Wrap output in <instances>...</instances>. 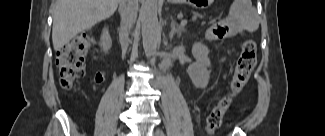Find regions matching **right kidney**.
I'll use <instances>...</instances> for the list:
<instances>
[{
	"label": "right kidney",
	"mask_w": 325,
	"mask_h": 136,
	"mask_svg": "<svg viewBox=\"0 0 325 136\" xmlns=\"http://www.w3.org/2000/svg\"><path fill=\"white\" fill-rule=\"evenodd\" d=\"M102 50L106 53L112 46V41L108 32L107 28H104L102 36H101V43H100Z\"/></svg>",
	"instance_id": "obj_1"
}]
</instances>
